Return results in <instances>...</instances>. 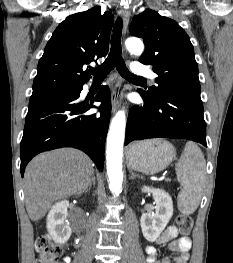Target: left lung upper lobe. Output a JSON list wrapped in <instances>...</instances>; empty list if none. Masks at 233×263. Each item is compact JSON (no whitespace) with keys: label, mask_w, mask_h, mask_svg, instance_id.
I'll use <instances>...</instances> for the list:
<instances>
[{"label":"left lung upper lobe","mask_w":233,"mask_h":263,"mask_svg":"<svg viewBox=\"0 0 233 263\" xmlns=\"http://www.w3.org/2000/svg\"><path fill=\"white\" fill-rule=\"evenodd\" d=\"M130 33L142 37L145 51L140 62L152 65L158 75L157 87L148 89L152 99L171 90H187L200 93L198 65L193 45L186 32L174 21L151 9L133 17Z\"/></svg>","instance_id":"left-lung-upper-lobe-1"}]
</instances>
